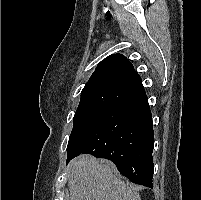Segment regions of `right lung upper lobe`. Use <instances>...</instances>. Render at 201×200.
Masks as SVG:
<instances>
[{
  "label": "right lung upper lobe",
  "instance_id": "cb5924a9",
  "mask_svg": "<svg viewBox=\"0 0 201 200\" xmlns=\"http://www.w3.org/2000/svg\"><path fill=\"white\" fill-rule=\"evenodd\" d=\"M107 91L135 99L145 94L140 76L121 54H114L98 64L81 93Z\"/></svg>",
  "mask_w": 201,
  "mask_h": 200
}]
</instances>
